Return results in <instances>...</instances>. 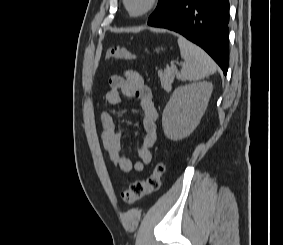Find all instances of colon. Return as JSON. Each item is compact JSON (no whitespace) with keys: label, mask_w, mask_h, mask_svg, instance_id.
Wrapping results in <instances>:
<instances>
[{"label":"colon","mask_w":283,"mask_h":245,"mask_svg":"<svg viewBox=\"0 0 283 245\" xmlns=\"http://www.w3.org/2000/svg\"><path fill=\"white\" fill-rule=\"evenodd\" d=\"M108 61L134 59V55L124 48L115 46L108 49L106 53ZM166 170V165L163 160L155 163L150 176L143 181H136L130 187L121 193V199L126 205H131L143 197L155 193L160 189L161 179Z\"/></svg>","instance_id":"5ec220e1"}]
</instances>
